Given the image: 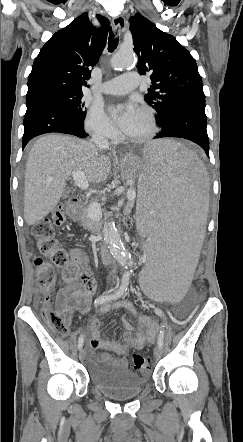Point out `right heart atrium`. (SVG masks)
<instances>
[{"instance_id":"obj_1","label":"right heart atrium","mask_w":243,"mask_h":442,"mask_svg":"<svg viewBox=\"0 0 243 442\" xmlns=\"http://www.w3.org/2000/svg\"><path fill=\"white\" fill-rule=\"evenodd\" d=\"M84 125L85 129L93 136L111 141L118 137L115 127L99 107L94 106L89 109Z\"/></svg>"}]
</instances>
